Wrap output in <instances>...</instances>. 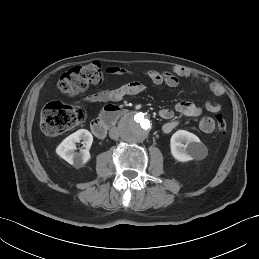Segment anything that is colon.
I'll use <instances>...</instances> for the list:
<instances>
[{
    "label": "colon",
    "mask_w": 259,
    "mask_h": 259,
    "mask_svg": "<svg viewBox=\"0 0 259 259\" xmlns=\"http://www.w3.org/2000/svg\"><path fill=\"white\" fill-rule=\"evenodd\" d=\"M102 79L100 66L91 63L74 67L62 74L57 86L64 95L75 96L82 93L88 86L100 83ZM85 119L86 112L83 108L52 101L46 104L41 112L40 126L44 134L56 136L84 122ZM215 121L217 131L224 133L227 129V122L222 112H216Z\"/></svg>",
    "instance_id": "5ec220e1"
}]
</instances>
